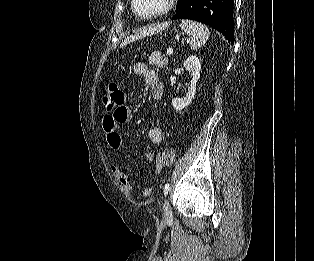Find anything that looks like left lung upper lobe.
Returning a JSON list of instances; mask_svg holds the SVG:
<instances>
[{
  "instance_id": "5c2ea615",
  "label": "left lung upper lobe",
  "mask_w": 314,
  "mask_h": 261,
  "mask_svg": "<svg viewBox=\"0 0 314 261\" xmlns=\"http://www.w3.org/2000/svg\"><path fill=\"white\" fill-rule=\"evenodd\" d=\"M183 2H184V0H178L177 6H176V11L180 8V6L182 5Z\"/></svg>"
}]
</instances>
